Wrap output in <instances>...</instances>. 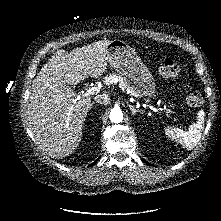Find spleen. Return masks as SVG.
<instances>
[{"label": "spleen", "mask_w": 221, "mask_h": 221, "mask_svg": "<svg viewBox=\"0 0 221 221\" xmlns=\"http://www.w3.org/2000/svg\"><path fill=\"white\" fill-rule=\"evenodd\" d=\"M204 124V111L201 110L198 113V122L191 125L188 131H183L178 128L168 127L166 129V134L170 138L177 139L181 144H183L187 149L194 148L201 138V130Z\"/></svg>", "instance_id": "1"}]
</instances>
